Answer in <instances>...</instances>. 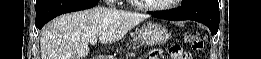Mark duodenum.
I'll use <instances>...</instances> for the list:
<instances>
[{"instance_id": "duodenum-1", "label": "duodenum", "mask_w": 261, "mask_h": 59, "mask_svg": "<svg viewBox=\"0 0 261 59\" xmlns=\"http://www.w3.org/2000/svg\"><path fill=\"white\" fill-rule=\"evenodd\" d=\"M91 59H107V57L101 54H95L91 57Z\"/></svg>"}]
</instances>
